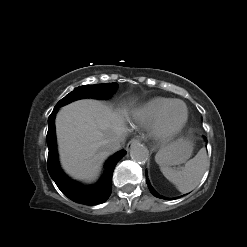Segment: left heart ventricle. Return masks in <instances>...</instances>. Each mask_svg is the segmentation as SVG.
<instances>
[{"label":"left heart ventricle","instance_id":"obj_1","mask_svg":"<svg viewBox=\"0 0 247 247\" xmlns=\"http://www.w3.org/2000/svg\"><path fill=\"white\" fill-rule=\"evenodd\" d=\"M184 107L181 104L173 105L166 114V123L170 126L179 124L184 117Z\"/></svg>","mask_w":247,"mask_h":247}]
</instances>
